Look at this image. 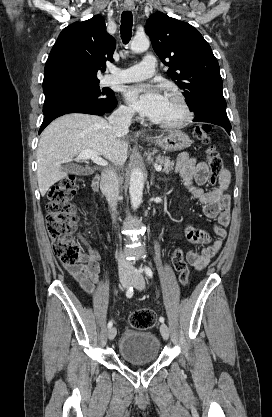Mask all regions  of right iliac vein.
Instances as JSON below:
<instances>
[{"label": "right iliac vein", "mask_w": 272, "mask_h": 417, "mask_svg": "<svg viewBox=\"0 0 272 417\" xmlns=\"http://www.w3.org/2000/svg\"><path fill=\"white\" fill-rule=\"evenodd\" d=\"M121 284L123 286V288H127L130 286L131 284V278L129 276H124L121 278ZM117 330L115 327H111L108 330V338L109 340H113L116 336Z\"/></svg>", "instance_id": "63e3f726"}]
</instances>
